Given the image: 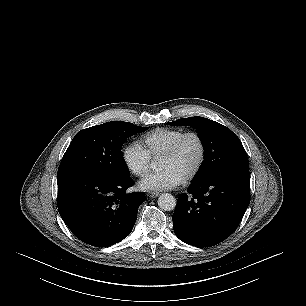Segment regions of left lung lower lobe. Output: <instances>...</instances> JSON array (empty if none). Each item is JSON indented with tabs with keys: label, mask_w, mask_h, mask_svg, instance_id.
I'll list each match as a JSON object with an SVG mask.
<instances>
[{
	"label": "left lung lower lobe",
	"mask_w": 306,
	"mask_h": 306,
	"mask_svg": "<svg viewBox=\"0 0 306 306\" xmlns=\"http://www.w3.org/2000/svg\"><path fill=\"white\" fill-rule=\"evenodd\" d=\"M249 170L216 173L191 183L180 194L173 220L176 236L196 247H210L228 238L250 203Z\"/></svg>",
	"instance_id": "0a47b994"
}]
</instances>
